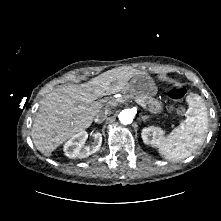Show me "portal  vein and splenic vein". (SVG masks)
Returning a JSON list of instances; mask_svg holds the SVG:
<instances>
[{
    "instance_id": "18ae733b",
    "label": "portal vein and splenic vein",
    "mask_w": 221,
    "mask_h": 221,
    "mask_svg": "<svg viewBox=\"0 0 221 221\" xmlns=\"http://www.w3.org/2000/svg\"><path fill=\"white\" fill-rule=\"evenodd\" d=\"M137 104H139L143 109H147V105L139 99L134 100Z\"/></svg>"
}]
</instances>
